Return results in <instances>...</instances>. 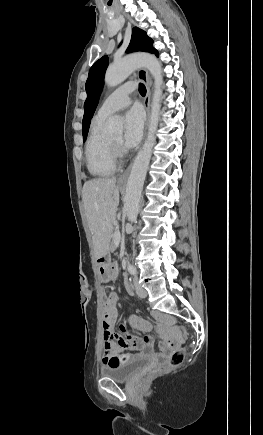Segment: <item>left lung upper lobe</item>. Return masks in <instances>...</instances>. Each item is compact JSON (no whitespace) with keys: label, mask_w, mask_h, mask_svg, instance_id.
<instances>
[{"label":"left lung upper lobe","mask_w":263,"mask_h":435,"mask_svg":"<svg viewBox=\"0 0 263 435\" xmlns=\"http://www.w3.org/2000/svg\"><path fill=\"white\" fill-rule=\"evenodd\" d=\"M133 51H145L158 57V51L153 48V40L147 36L145 31L137 27L133 28L131 41L126 50L127 53ZM108 63V56H103L93 64L89 71L85 85L87 99L84 104L83 141L86 140L91 118L100 98Z\"/></svg>","instance_id":"1"}]
</instances>
